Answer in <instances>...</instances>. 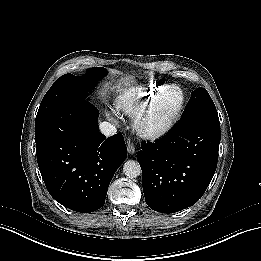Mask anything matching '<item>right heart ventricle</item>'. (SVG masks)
<instances>
[{"instance_id": "1", "label": "right heart ventricle", "mask_w": 261, "mask_h": 261, "mask_svg": "<svg viewBox=\"0 0 261 261\" xmlns=\"http://www.w3.org/2000/svg\"><path fill=\"white\" fill-rule=\"evenodd\" d=\"M136 102L137 101L135 99H126L120 103L119 109H121L122 111H124L126 113H131L136 108L135 107Z\"/></svg>"}]
</instances>
